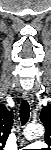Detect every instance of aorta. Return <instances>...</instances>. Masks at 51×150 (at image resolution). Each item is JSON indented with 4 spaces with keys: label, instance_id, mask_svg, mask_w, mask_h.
Returning a JSON list of instances; mask_svg holds the SVG:
<instances>
[{
    "label": "aorta",
    "instance_id": "1",
    "mask_svg": "<svg viewBox=\"0 0 51 150\" xmlns=\"http://www.w3.org/2000/svg\"><path fill=\"white\" fill-rule=\"evenodd\" d=\"M44 134L43 126L39 124H32L25 128L23 135L26 140H31L42 136Z\"/></svg>",
    "mask_w": 51,
    "mask_h": 150
}]
</instances>
